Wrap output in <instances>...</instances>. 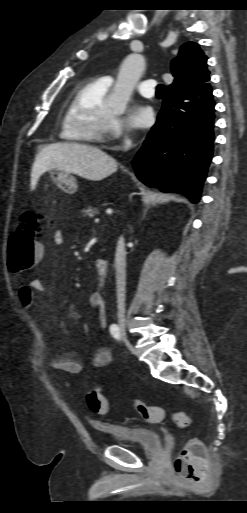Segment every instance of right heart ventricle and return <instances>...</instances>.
Returning <instances> with one entry per match:
<instances>
[{"instance_id":"e07e8e85","label":"right heart ventricle","mask_w":247,"mask_h":513,"mask_svg":"<svg viewBox=\"0 0 247 513\" xmlns=\"http://www.w3.org/2000/svg\"><path fill=\"white\" fill-rule=\"evenodd\" d=\"M109 88L102 78L87 80L78 87L63 116L64 140L82 144L102 141L111 119L105 101Z\"/></svg>"}]
</instances>
